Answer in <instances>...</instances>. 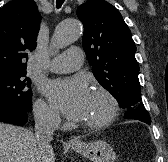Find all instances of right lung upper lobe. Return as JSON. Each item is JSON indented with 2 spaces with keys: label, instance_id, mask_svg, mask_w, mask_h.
<instances>
[{
  "label": "right lung upper lobe",
  "instance_id": "obj_1",
  "mask_svg": "<svg viewBox=\"0 0 168 162\" xmlns=\"http://www.w3.org/2000/svg\"><path fill=\"white\" fill-rule=\"evenodd\" d=\"M40 20L33 0H12L0 9V75L26 72Z\"/></svg>",
  "mask_w": 168,
  "mask_h": 162
}]
</instances>
